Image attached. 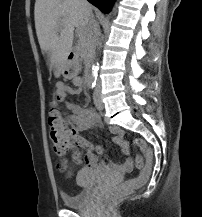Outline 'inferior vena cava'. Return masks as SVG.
<instances>
[{
	"label": "inferior vena cava",
	"mask_w": 202,
	"mask_h": 217,
	"mask_svg": "<svg viewBox=\"0 0 202 217\" xmlns=\"http://www.w3.org/2000/svg\"><path fill=\"white\" fill-rule=\"evenodd\" d=\"M81 2L84 5H87V3H88L87 0H81ZM86 14H87V17H88L87 30L92 35L93 44L95 46H101L99 24L95 20L93 14H92V11L89 8L86 9Z\"/></svg>",
	"instance_id": "obj_1"
}]
</instances>
